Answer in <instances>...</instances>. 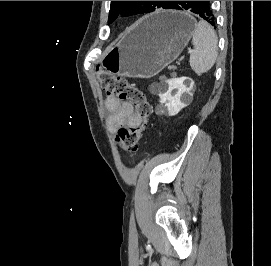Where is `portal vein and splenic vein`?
<instances>
[{
    "mask_svg": "<svg viewBox=\"0 0 271 266\" xmlns=\"http://www.w3.org/2000/svg\"><path fill=\"white\" fill-rule=\"evenodd\" d=\"M193 51L192 50H189V53H192Z\"/></svg>",
    "mask_w": 271,
    "mask_h": 266,
    "instance_id": "1",
    "label": "portal vein and splenic vein"
}]
</instances>
